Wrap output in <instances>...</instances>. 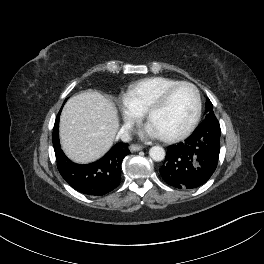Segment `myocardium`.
<instances>
[{
    "instance_id": "1",
    "label": "myocardium",
    "mask_w": 264,
    "mask_h": 264,
    "mask_svg": "<svg viewBox=\"0 0 264 264\" xmlns=\"http://www.w3.org/2000/svg\"><path fill=\"white\" fill-rule=\"evenodd\" d=\"M181 86H188L193 89L195 93V98H196V109H195V113H194L192 120L190 121V123L184 130L176 134H173V135H168V136L159 135L161 140L168 142V143L178 142L186 138L194 131V129L198 125L199 120L201 118V114H202V98H201V93L199 89L197 88V86L188 81H178L170 85L169 87H167L161 93V95L149 106V108L146 111V119H147V122H149L151 116L156 111L164 107L167 104L172 93Z\"/></svg>"
}]
</instances>
